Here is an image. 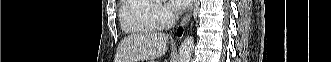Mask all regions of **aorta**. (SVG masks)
<instances>
[{
    "label": "aorta",
    "mask_w": 331,
    "mask_h": 62,
    "mask_svg": "<svg viewBox=\"0 0 331 62\" xmlns=\"http://www.w3.org/2000/svg\"><path fill=\"white\" fill-rule=\"evenodd\" d=\"M194 47V38L192 36L186 37L180 48L178 55V62H190Z\"/></svg>",
    "instance_id": "762f6f07"
}]
</instances>
